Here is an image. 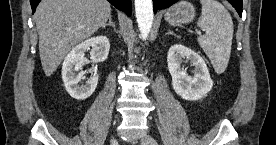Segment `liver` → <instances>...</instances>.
I'll return each instance as SVG.
<instances>
[{
    "label": "liver",
    "mask_w": 276,
    "mask_h": 145,
    "mask_svg": "<svg viewBox=\"0 0 276 145\" xmlns=\"http://www.w3.org/2000/svg\"><path fill=\"white\" fill-rule=\"evenodd\" d=\"M111 16L106 0H42L35 12L44 73L51 76L65 55Z\"/></svg>",
    "instance_id": "6515ba94"
}]
</instances>
